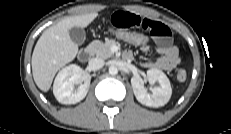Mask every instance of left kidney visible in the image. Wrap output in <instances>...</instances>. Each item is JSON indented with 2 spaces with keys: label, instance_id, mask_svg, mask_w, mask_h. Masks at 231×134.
<instances>
[{
  "label": "left kidney",
  "instance_id": "obj_1",
  "mask_svg": "<svg viewBox=\"0 0 231 134\" xmlns=\"http://www.w3.org/2000/svg\"><path fill=\"white\" fill-rule=\"evenodd\" d=\"M146 78L150 84L157 82L159 86L152 88L151 93H149L144 86V81L141 78L133 77L131 85L136 99L149 107L164 106L172 94L168 77L161 70L150 69L147 71Z\"/></svg>",
  "mask_w": 231,
  "mask_h": 134
}]
</instances>
